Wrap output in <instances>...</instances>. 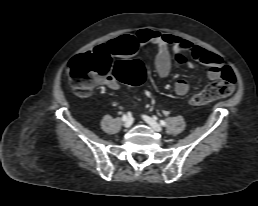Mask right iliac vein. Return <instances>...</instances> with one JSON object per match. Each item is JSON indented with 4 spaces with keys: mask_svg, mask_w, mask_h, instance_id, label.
Masks as SVG:
<instances>
[{
    "mask_svg": "<svg viewBox=\"0 0 258 206\" xmlns=\"http://www.w3.org/2000/svg\"><path fill=\"white\" fill-rule=\"evenodd\" d=\"M132 124H133V118L130 117V116H128V117L126 118V120L124 121V124H123V125H124L126 128H129Z\"/></svg>",
    "mask_w": 258,
    "mask_h": 206,
    "instance_id": "right-iliac-vein-1",
    "label": "right iliac vein"
}]
</instances>
